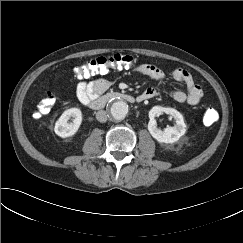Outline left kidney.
<instances>
[{
	"mask_svg": "<svg viewBox=\"0 0 243 243\" xmlns=\"http://www.w3.org/2000/svg\"><path fill=\"white\" fill-rule=\"evenodd\" d=\"M162 113H166L173 117L176 123L175 126H168L164 130L158 129L155 117ZM149 118L148 130L152 137L160 143H174L186 132V124L184 123L183 116L174 108L154 106L149 111Z\"/></svg>",
	"mask_w": 243,
	"mask_h": 243,
	"instance_id": "5707ae66",
	"label": "left kidney"
}]
</instances>
